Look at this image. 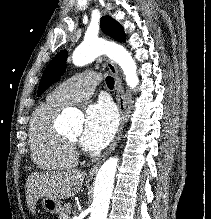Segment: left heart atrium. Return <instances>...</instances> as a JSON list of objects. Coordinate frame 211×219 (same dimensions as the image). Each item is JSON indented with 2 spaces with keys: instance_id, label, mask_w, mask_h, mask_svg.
I'll use <instances>...</instances> for the list:
<instances>
[{
  "instance_id": "39dd6f15",
  "label": "left heart atrium",
  "mask_w": 211,
  "mask_h": 219,
  "mask_svg": "<svg viewBox=\"0 0 211 219\" xmlns=\"http://www.w3.org/2000/svg\"><path fill=\"white\" fill-rule=\"evenodd\" d=\"M117 125L118 119L111 104L99 102L91 105L86 111L81 144L88 150L104 148L114 136Z\"/></svg>"
}]
</instances>
